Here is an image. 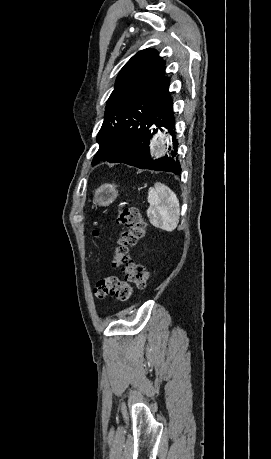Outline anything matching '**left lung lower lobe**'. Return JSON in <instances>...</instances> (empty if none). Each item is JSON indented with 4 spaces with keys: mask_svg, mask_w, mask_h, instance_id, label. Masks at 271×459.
I'll return each instance as SVG.
<instances>
[{
    "mask_svg": "<svg viewBox=\"0 0 271 459\" xmlns=\"http://www.w3.org/2000/svg\"><path fill=\"white\" fill-rule=\"evenodd\" d=\"M169 82L167 78L156 91L154 103L144 115L128 120L110 135V150L101 162L126 163L141 169L173 172L176 175L181 173L176 152L178 141L174 130L172 98L168 91ZM159 131L171 134L174 151H170L169 146L168 155L152 160L149 152L150 139Z\"/></svg>",
    "mask_w": 271,
    "mask_h": 459,
    "instance_id": "obj_1",
    "label": "left lung lower lobe"
}]
</instances>
